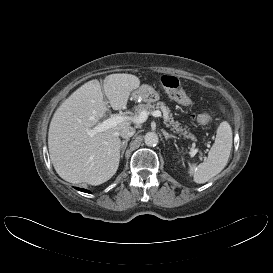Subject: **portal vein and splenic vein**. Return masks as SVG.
<instances>
[{
	"mask_svg": "<svg viewBox=\"0 0 273 273\" xmlns=\"http://www.w3.org/2000/svg\"><path fill=\"white\" fill-rule=\"evenodd\" d=\"M154 117H159L161 116V112L159 110L153 111L151 113ZM148 117V113L146 111H142L139 113L137 117H129V116H112L103 122L99 123L97 126H95L93 129L89 131L90 135H94L98 132H103L111 127L117 126L119 123L123 121H132L133 123L136 124H141L146 121ZM197 150H194L192 152V155H195Z\"/></svg>",
	"mask_w": 273,
	"mask_h": 273,
	"instance_id": "portal-vein-and-splenic-vein-1",
	"label": "portal vein and splenic vein"
}]
</instances>
